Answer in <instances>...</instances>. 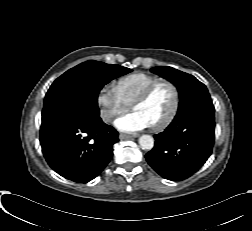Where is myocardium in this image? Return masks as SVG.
Masks as SVG:
<instances>
[{"label":"myocardium","mask_w":252,"mask_h":231,"mask_svg":"<svg viewBox=\"0 0 252 231\" xmlns=\"http://www.w3.org/2000/svg\"><path fill=\"white\" fill-rule=\"evenodd\" d=\"M160 83H167L168 85H170L173 91V104L169 113L166 115V117L163 120H161L156 125L150 126L152 131H160L166 128L174 120L175 116L177 115V112L180 106V91L177 84L169 78H158L157 80L149 84L131 104V108L134 109L136 105L145 102L150 97L154 88Z\"/></svg>","instance_id":"1"}]
</instances>
